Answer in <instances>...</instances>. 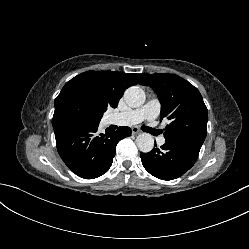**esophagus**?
<instances>
[{"instance_id":"esophagus-1","label":"esophagus","mask_w":249,"mask_h":249,"mask_svg":"<svg viewBox=\"0 0 249 249\" xmlns=\"http://www.w3.org/2000/svg\"><path fill=\"white\" fill-rule=\"evenodd\" d=\"M140 133H141V131L139 130V128H137V127L132 128V134L137 135V134H140Z\"/></svg>"}]
</instances>
